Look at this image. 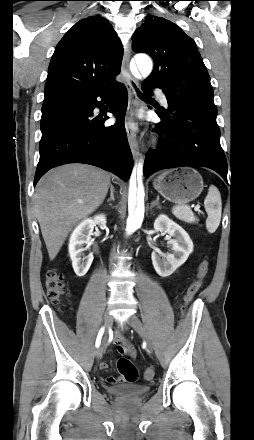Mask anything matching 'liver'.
Masks as SVG:
<instances>
[{"instance_id": "6515ba94", "label": "liver", "mask_w": 254, "mask_h": 440, "mask_svg": "<svg viewBox=\"0 0 254 440\" xmlns=\"http://www.w3.org/2000/svg\"><path fill=\"white\" fill-rule=\"evenodd\" d=\"M110 174L84 164H67L48 171L33 196L50 260L55 259L72 228L104 201Z\"/></svg>"}]
</instances>
